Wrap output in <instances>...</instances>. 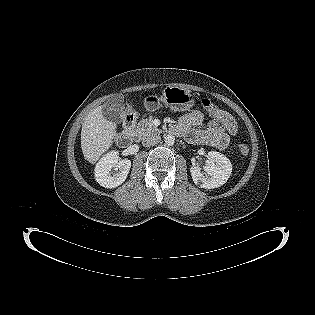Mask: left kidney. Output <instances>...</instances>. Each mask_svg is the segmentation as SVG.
Here are the masks:
<instances>
[{
  "label": "left kidney",
  "mask_w": 315,
  "mask_h": 315,
  "mask_svg": "<svg viewBox=\"0 0 315 315\" xmlns=\"http://www.w3.org/2000/svg\"><path fill=\"white\" fill-rule=\"evenodd\" d=\"M203 169L205 173L198 167L192 166L190 168L193 182L201 188L214 189L227 182L232 172V164L223 154L210 151Z\"/></svg>",
  "instance_id": "1"
}]
</instances>
